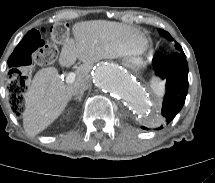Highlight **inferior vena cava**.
I'll use <instances>...</instances> for the list:
<instances>
[{"mask_svg":"<svg viewBox=\"0 0 215 183\" xmlns=\"http://www.w3.org/2000/svg\"><path fill=\"white\" fill-rule=\"evenodd\" d=\"M91 85L90 79H80L73 85L74 93L81 94L86 91Z\"/></svg>","mask_w":215,"mask_h":183,"instance_id":"obj_1","label":"inferior vena cava"}]
</instances>
